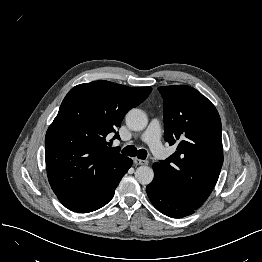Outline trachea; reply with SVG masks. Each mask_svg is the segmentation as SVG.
Listing matches in <instances>:
<instances>
[{"mask_svg":"<svg viewBox=\"0 0 262 262\" xmlns=\"http://www.w3.org/2000/svg\"><path fill=\"white\" fill-rule=\"evenodd\" d=\"M122 153L131 157L137 156V158L139 159H146L147 157V151L145 149L137 150V148L133 145H129L123 148Z\"/></svg>","mask_w":262,"mask_h":262,"instance_id":"obj_1","label":"trachea"}]
</instances>
